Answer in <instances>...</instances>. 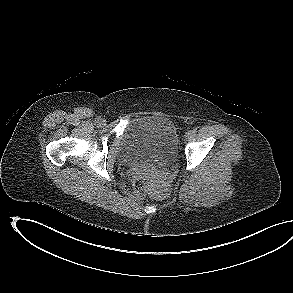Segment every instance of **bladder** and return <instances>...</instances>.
I'll use <instances>...</instances> for the list:
<instances>
[{
    "mask_svg": "<svg viewBox=\"0 0 293 293\" xmlns=\"http://www.w3.org/2000/svg\"><path fill=\"white\" fill-rule=\"evenodd\" d=\"M179 136L175 124L167 117L141 115L127 124L121 139L124 160L140 161L167 167L178 156Z\"/></svg>",
    "mask_w": 293,
    "mask_h": 293,
    "instance_id": "obj_1",
    "label": "bladder"
}]
</instances>
